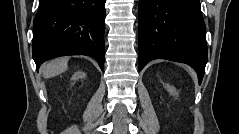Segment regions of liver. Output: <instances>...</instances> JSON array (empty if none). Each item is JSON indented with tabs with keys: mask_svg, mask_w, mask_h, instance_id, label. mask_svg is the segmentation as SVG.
Wrapping results in <instances>:
<instances>
[{
	"mask_svg": "<svg viewBox=\"0 0 239 134\" xmlns=\"http://www.w3.org/2000/svg\"><path fill=\"white\" fill-rule=\"evenodd\" d=\"M67 68L68 58H59L43 65L42 72L45 78H51L63 73Z\"/></svg>",
	"mask_w": 239,
	"mask_h": 134,
	"instance_id": "6515ba94",
	"label": "liver"
}]
</instances>
